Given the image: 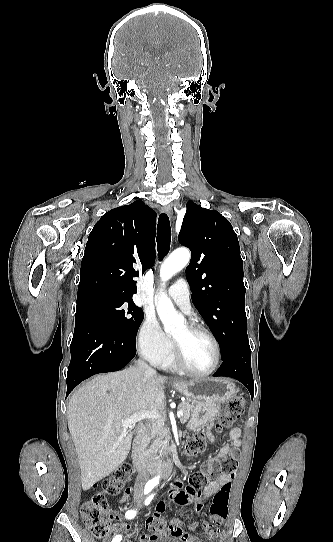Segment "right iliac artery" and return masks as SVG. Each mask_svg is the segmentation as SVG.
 Segmentation results:
<instances>
[{
    "label": "right iliac artery",
    "mask_w": 333,
    "mask_h": 542,
    "mask_svg": "<svg viewBox=\"0 0 333 542\" xmlns=\"http://www.w3.org/2000/svg\"><path fill=\"white\" fill-rule=\"evenodd\" d=\"M156 484L155 483H149L145 486V489H144V493L145 494H148L155 486ZM149 498V497H148ZM136 516V511L135 510H129L126 512L125 514V517L127 519H132ZM122 539V536L121 535H117L114 537V539L112 540V542H120Z\"/></svg>",
    "instance_id": "82829eb1"
}]
</instances>
